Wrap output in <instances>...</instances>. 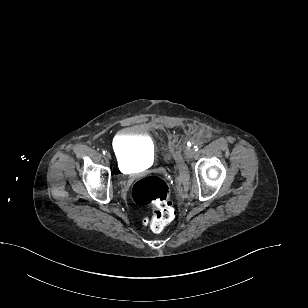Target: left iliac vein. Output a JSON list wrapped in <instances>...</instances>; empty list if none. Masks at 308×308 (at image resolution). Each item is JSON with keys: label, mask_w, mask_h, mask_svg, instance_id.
<instances>
[{"label": "left iliac vein", "mask_w": 308, "mask_h": 308, "mask_svg": "<svg viewBox=\"0 0 308 308\" xmlns=\"http://www.w3.org/2000/svg\"><path fill=\"white\" fill-rule=\"evenodd\" d=\"M194 155H195V151H194L193 148H187V149L185 150V156H186L188 159L193 158Z\"/></svg>", "instance_id": "left-iliac-vein-1"}]
</instances>
